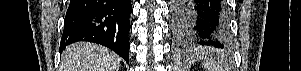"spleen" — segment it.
Returning <instances> with one entry per match:
<instances>
[{"mask_svg":"<svg viewBox=\"0 0 301 71\" xmlns=\"http://www.w3.org/2000/svg\"><path fill=\"white\" fill-rule=\"evenodd\" d=\"M203 67L206 71H221L220 66H214L212 63H205L203 64Z\"/></svg>","mask_w":301,"mask_h":71,"instance_id":"1","label":"spleen"}]
</instances>
